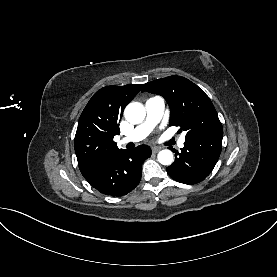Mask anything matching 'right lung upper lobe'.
Instances as JSON below:
<instances>
[{"label":"right lung upper lobe","mask_w":277,"mask_h":277,"mask_svg":"<svg viewBox=\"0 0 277 277\" xmlns=\"http://www.w3.org/2000/svg\"><path fill=\"white\" fill-rule=\"evenodd\" d=\"M142 86H106L87 103L80 116L74 141L79 169L85 178L122 150L113 138L120 132L118 123L125 106Z\"/></svg>","instance_id":"cb5924a9"}]
</instances>
